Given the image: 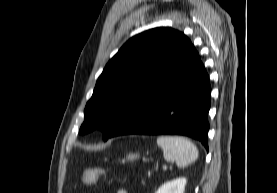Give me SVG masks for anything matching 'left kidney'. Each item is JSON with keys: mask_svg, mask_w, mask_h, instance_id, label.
Segmentation results:
<instances>
[{"mask_svg": "<svg viewBox=\"0 0 277 193\" xmlns=\"http://www.w3.org/2000/svg\"><path fill=\"white\" fill-rule=\"evenodd\" d=\"M186 178H177L164 183L155 193H184Z\"/></svg>", "mask_w": 277, "mask_h": 193, "instance_id": "1", "label": "left kidney"}]
</instances>
